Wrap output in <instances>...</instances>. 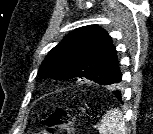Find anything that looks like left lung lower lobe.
<instances>
[{"instance_id":"1","label":"left lung lower lobe","mask_w":153,"mask_h":134,"mask_svg":"<svg viewBox=\"0 0 153 134\" xmlns=\"http://www.w3.org/2000/svg\"><path fill=\"white\" fill-rule=\"evenodd\" d=\"M120 77H122V75ZM112 93L119 101H121V92L119 90H113Z\"/></svg>"}]
</instances>
